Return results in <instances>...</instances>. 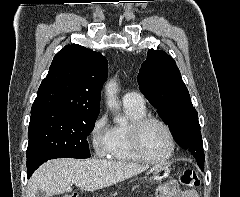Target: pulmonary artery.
<instances>
[{
    "label": "pulmonary artery",
    "instance_id": "pulmonary-artery-1",
    "mask_svg": "<svg viewBox=\"0 0 240 197\" xmlns=\"http://www.w3.org/2000/svg\"><path fill=\"white\" fill-rule=\"evenodd\" d=\"M122 102L124 106L136 107V108L145 107V101L143 96L135 91H130L125 93L122 98Z\"/></svg>",
    "mask_w": 240,
    "mask_h": 197
}]
</instances>
